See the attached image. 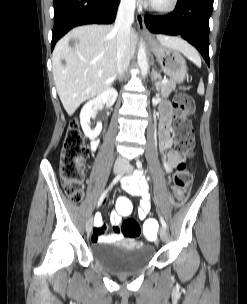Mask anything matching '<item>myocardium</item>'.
<instances>
[{
	"label": "myocardium",
	"mask_w": 247,
	"mask_h": 304,
	"mask_svg": "<svg viewBox=\"0 0 247 304\" xmlns=\"http://www.w3.org/2000/svg\"><path fill=\"white\" fill-rule=\"evenodd\" d=\"M177 5L178 0H168L167 4L161 7L150 3L148 4V9L156 15L164 16L172 13L176 9Z\"/></svg>",
	"instance_id": "myocardium-1"
}]
</instances>
